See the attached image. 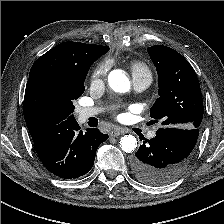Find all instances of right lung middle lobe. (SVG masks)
I'll use <instances>...</instances> for the list:
<instances>
[{
  "label": "right lung middle lobe",
  "instance_id": "obj_1",
  "mask_svg": "<svg viewBox=\"0 0 224 224\" xmlns=\"http://www.w3.org/2000/svg\"><path fill=\"white\" fill-rule=\"evenodd\" d=\"M89 67L68 73L44 70L29 76L23 106L27 126L51 128L75 121L73 102L85 90Z\"/></svg>",
  "mask_w": 224,
  "mask_h": 224
}]
</instances>
